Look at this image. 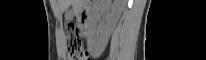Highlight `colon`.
Returning <instances> with one entry per match:
<instances>
[{
	"instance_id": "5ec220e1",
	"label": "colon",
	"mask_w": 206,
	"mask_h": 60,
	"mask_svg": "<svg viewBox=\"0 0 206 60\" xmlns=\"http://www.w3.org/2000/svg\"><path fill=\"white\" fill-rule=\"evenodd\" d=\"M66 46L69 60H89V56L83 48L82 36L74 25L68 29Z\"/></svg>"
}]
</instances>
